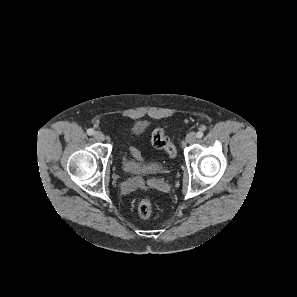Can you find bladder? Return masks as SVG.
<instances>
[{"instance_id":"obj_1","label":"bladder","mask_w":297,"mask_h":297,"mask_svg":"<svg viewBox=\"0 0 297 297\" xmlns=\"http://www.w3.org/2000/svg\"><path fill=\"white\" fill-rule=\"evenodd\" d=\"M146 129V124L141 121L133 123L129 130L128 134L131 136L141 135ZM123 168L133 174L141 173L143 171L152 172V173H162L165 170V167L162 163L158 161H151L144 168L138 165L133 160L129 159L126 155L123 157Z\"/></svg>"}]
</instances>
